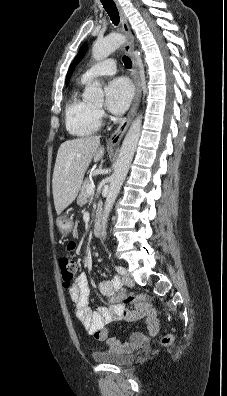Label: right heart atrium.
<instances>
[{
	"instance_id": "d8ad5b80",
	"label": "right heart atrium",
	"mask_w": 227,
	"mask_h": 396,
	"mask_svg": "<svg viewBox=\"0 0 227 396\" xmlns=\"http://www.w3.org/2000/svg\"><path fill=\"white\" fill-rule=\"evenodd\" d=\"M97 113H98L99 117H102L104 115L103 111L100 109L97 110Z\"/></svg>"
}]
</instances>
